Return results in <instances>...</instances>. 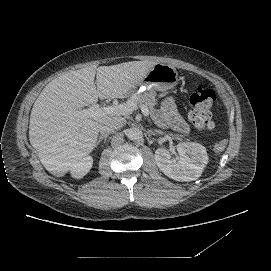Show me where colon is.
Returning <instances> with one entry per match:
<instances>
[{"mask_svg":"<svg viewBox=\"0 0 271 271\" xmlns=\"http://www.w3.org/2000/svg\"><path fill=\"white\" fill-rule=\"evenodd\" d=\"M216 100L214 90L198 86L191 93L189 103L191 106L189 117L193 125L199 131L210 130L214 127L211 109ZM227 141L225 139L218 141L214 148L220 153L225 150Z\"/></svg>","mask_w":271,"mask_h":271,"instance_id":"colon-1","label":"colon"}]
</instances>
